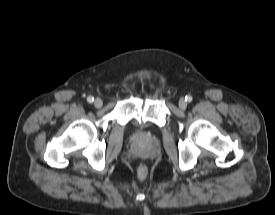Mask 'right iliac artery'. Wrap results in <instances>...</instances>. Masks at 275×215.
<instances>
[{
  "label": "right iliac artery",
  "mask_w": 275,
  "mask_h": 215,
  "mask_svg": "<svg viewBox=\"0 0 275 215\" xmlns=\"http://www.w3.org/2000/svg\"><path fill=\"white\" fill-rule=\"evenodd\" d=\"M87 101H88L89 103H92V102L94 101V97L89 96V97L87 98Z\"/></svg>",
  "instance_id": "82829eb1"
}]
</instances>
